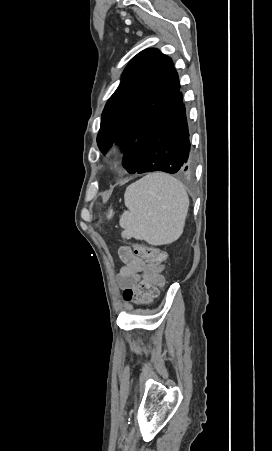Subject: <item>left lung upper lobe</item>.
Returning a JSON list of instances; mask_svg holds the SVG:
<instances>
[{"label": "left lung upper lobe", "instance_id": "obj_1", "mask_svg": "<svg viewBox=\"0 0 272 451\" xmlns=\"http://www.w3.org/2000/svg\"><path fill=\"white\" fill-rule=\"evenodd\" d=\"M179 89L178 74L168 56L157 49L137 54L104 108L97 135L99 149L106 153L112 143L123 144L124 167L135 173L159 117Z\"/></svg>", "mask_w": 272, "mask_h": 451}]
</instances>
